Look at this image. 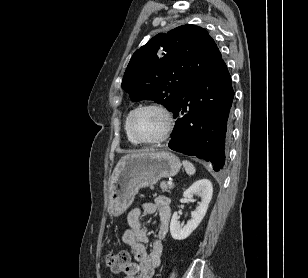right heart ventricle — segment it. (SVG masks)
I'll return each instance as SVG.
<instances>
[{"mask_svg":"<svg viewBox=\"0 0 308 278\" xmlns=\"http://www.w3.org/2000/svg\"><path fill=\"white\" fill-rule=\"evenodd\" d=\"M128 115H129V114H128ZM128 115H127V117H126V119H125L124 129H125L127 138H128V140L130 141V143H132V144H134V145H137L138 143L131 137V135L129 134L128 129H127V118H128Z\"/></svg>","mask_w":308,"mask_h":278,"instance_id":"right-heart-ventricle-1","label":"right heart ventricle"}]
</instances>
